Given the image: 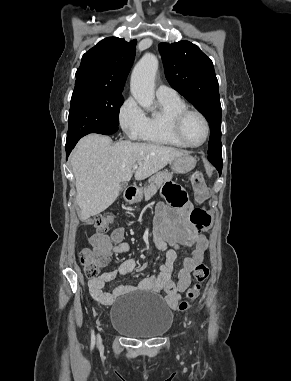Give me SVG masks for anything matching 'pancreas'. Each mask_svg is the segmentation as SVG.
Segmentation results:
<instances>
[{
	"label": "pancreas",
	"instance_id": "pancreas-1",
	"mask_svg": "<svg viewBox=\"0 0 291 381\" xmlns=\"http://www.w3.org/2000/svg\"><path fill=\"white\" fill-rule=\"evenodd\" d=\"M172 179V173L158 172L149 179V185L144 189L145 200H149L156 194L157 190L163 185L164 182Z\"/></svg>",
	"mask_w": 291,
	"mask_h": 381
}]
</instances>
